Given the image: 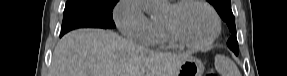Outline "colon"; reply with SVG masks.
<instances>
[{
    "instance_id": "obj_1",
    "label": "colon",
    "mask_w": 287,
    "mask_h": 76,
    "mask_svg": "<svg viewBox=\"0 0 287 76\" xmlns=\"http://www.w3.org/2000/svg\"><path fill=\"white\" fill-rule=\"evenodd\" d=\"M206 76H216V74L211 71V72H208V73L206 74Z\"/></svg>"
}]
</instances>
